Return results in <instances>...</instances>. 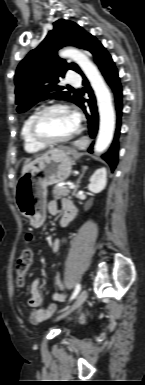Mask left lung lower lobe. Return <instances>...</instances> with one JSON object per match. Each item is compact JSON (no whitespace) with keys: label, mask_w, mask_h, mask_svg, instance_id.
<instances>
[{"label":"left lung lower lobe","mask_w":145,"mask_h":385,"mask_svg":"<svg viewBox=\"0 0 145 385\" xmlns=\"http://www.w3.org/2000/svg\"><path fill=\"white\" fill-rule=\"evenodd\" d=\"M87 50L93 55L95 62L98 64L102 74L104 75L106 81L111 86L115 94L116 110L118 116L117 129L110 149L107 153L101 156L102 159H104L110 165L111 169L114 170L118 162V136L120 132V118L122 110L121 85L119 82L118 72L111 56L96 38L92 37ZM79 73L84 77V74L81 71ZM83 85L85 86V91L89 94L90 97V99L87 100L90 108L88 110L86 109L84 106L85 100L83 98L78 106L81 107L85 112L89 124V134L91 138H94L97 134L99 122L96 101L89 82L85 77ZM88 151L92 153V145Z\"/></svg>","instance_id":"0a47b994"}]
</instances>
